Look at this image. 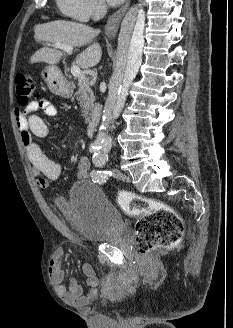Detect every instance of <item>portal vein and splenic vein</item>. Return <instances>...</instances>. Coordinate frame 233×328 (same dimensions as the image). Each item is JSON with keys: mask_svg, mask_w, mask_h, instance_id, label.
Wrapping results in <instances>:
<instances>
[{"mask_svg": "<svg viewBox=\"0 0 233 328\" xmlns=\"http://www.w3.org/2000/svg\"><path fill=\"white\" fill-rule=\"evenodd\" d=\"M53 46L55 48H59V49L64 50L68 54H71L72 51H73V47L72 46L63 45V44H60V43H55ZM71 73H72V75L79 77V79H86L87 80L86 72L85 71H81L80 68H79V66H77V65H73L71 67Z\"/></svg>", "mask_w": 233, "mask_h": 328, "instance_id": "18ae733b", "label": "portal vein and splenic vein"}]
</instances>
